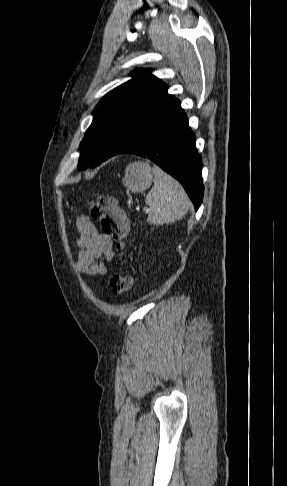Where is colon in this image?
I'll return each mask as SVG.
<instances>
[{"mask_svg": "<svg viewBox=\"0 0 287 486\" xmlns=\"http://www.w3.org/2000/svg\"><path fill=\"white\" fill-rule=\"evenodd\" d=\"M90 210L92 217L101 224L103 233L115 241L117 250L123 254L130 246V225L116 200L113 197L98 195L90 202ZM132 283V275L127 270L116 272L109 279L110 288L115 295L130 290Z\"/></svg>", "mask_w": 287, "mask_h": 486, "instance_id": "obj_1", "label": "colon"}]
</instances>
